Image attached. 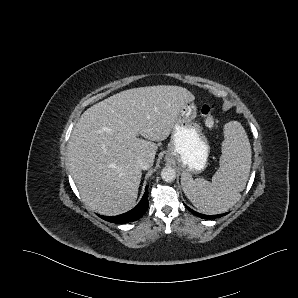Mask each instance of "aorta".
I'll return each mask as SVG.
<instances>
[{
  "label": "aorta",
  "mask_w": 298,
  "mask_h": 298,
  "mask_svg": "<svg viewBox=\"0 0 298 298\" xmlns=\"http://www.w3.org/2000/svg\"><path fill=\"white\" fill-rule=\"evenodd\" d=\"M160 176L165 182H173L176 179L177 173L173 167H164L161 170Z\"/></svg>",
  "instance_id": "762f6f07"
}]
</instances>
